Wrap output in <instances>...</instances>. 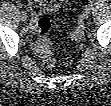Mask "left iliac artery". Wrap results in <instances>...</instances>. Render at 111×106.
I'll use <instances>...</instances> for the list:
<instances>
[{
  "instance_id": "44dca946",
  "label": "left iliac artery",
  "mask_w": 111,
  "mask_h": 106,
  "mask_svg": "<svg viewBox=\"0 0 111 106\" xmlns=\"http://www.w3.org/2000/svg\"><path fill=\"white\" fill-rule=\"evenodd\" d=\"M89 2H90V4H92L94 1H93V0H90Z\"/></svg>"
}]
</instances>
